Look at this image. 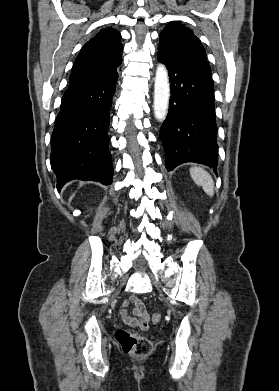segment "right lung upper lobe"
<instances>
[{"label": "right lung upper lobe", "instance_id": "right-lung-upper-lobe-1", "mask_svg": "<svg viewBox=\"0 0 279 391\" xmlns=\"http://www.w3.org/2000/svg\"><path fill=\"white\" fill-rule=\"evenodd\" d=\"M120 39L119 32L107 28L89 40L74 62L68 89L94 84L117 73L122 62Z\"/></svg>", "mask_w": 279, "mask_h": 391}]
</instances>
